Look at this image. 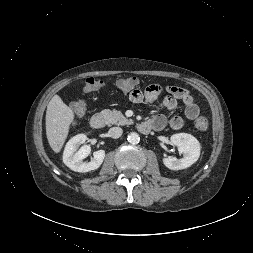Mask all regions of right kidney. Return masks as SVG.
Wrapping results in <instances>:
<instances>
[{"instance_id":"ca27d5eb","label":"right kidney","mask_w":253,"mask_h":253,"mask_svg":"<svg viewBox=\"0 0 253 253\" xmlns=\"http://www.w3.org/2000/svg\"><path fill=\"white\" fill-rule=\"evenodd\" d=\"M86 139L87 136L85 134H78L72 137L65 146L63 162L73 171L83 173L96 170L101 166L105 158V151L98 150L94 152V158L90 162H83V159H85L91 152V147L84 144ZM81 144L84 145L77 151Z\"/></svg>"}]
</instances>
